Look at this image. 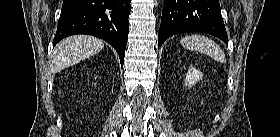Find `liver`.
I'll return each instance as SVG.
<instances>
[{"mask_svg": "<svg viewBox=\"0 0 280 137\" xmlns=\"http://www.w3.org/2000/svg\"><path fill=\"white\" fill-rule=\"evenodd\" d=\"M104 42L93 36H71L58 43L53 51L51 72L57 73L99 53Z\"/></svg>", "mask_w": 280, "mask_h": 137, "instance_id": "6515ba94", "label": "liver"}]
</instances>
